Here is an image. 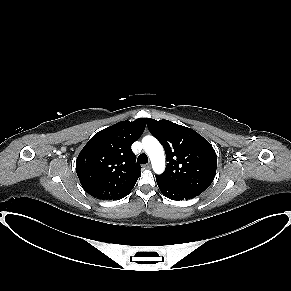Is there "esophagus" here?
Here are the masks:
<instances>
[{
    "label": "esophagus",
    "mask_w": 291,
    "mask_h": 291,
    "mask_svg": "<svg viewBox=\"0 0 291 291\" xmlns=\"http://www.w3.org/2000/svg\"><path fill=\"white\" fill-rule=\"evenodd\" d=\"M143 167L146 168V169H150L151 165L149 163H147V164H144Z\"/></svg>",
    "instance_id": "esophagus-1"
}]
</instances>
